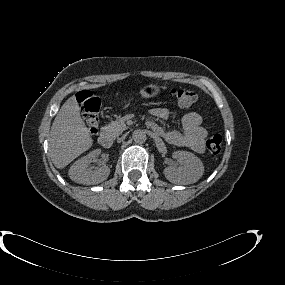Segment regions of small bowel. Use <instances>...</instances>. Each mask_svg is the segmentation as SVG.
Listing matches in <instances>:
<instances>
[{
  "label": "small bowel",
  "mask_w": 285,
  "mask_h": 285,
  "mask_svg": "<svg viewBox=\"0 0 285 285\" xmlns=\"http://www.w3.org/2000/svg\"><path fill=\"white\" fill-rule=\"evenodd\" d=\"M153 117L166 120L169 118V110L163 107H155L150 110ZM202 119L199 113L190 112L183 117V131L176 129L164 131L157 123L151 122L149 126L152 130L162 136L169 144L191 149L196 153H203L205 150L204 140L207 131L201 125Z\"/></svg>",
  "instance_id": "c3829d8e"
}]
</instances>
